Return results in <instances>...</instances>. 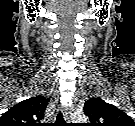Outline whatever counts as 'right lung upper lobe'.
<instances>
[{
  "instance_id": "obj_1",
  "label": "right lung upper lobe",
  "mask_w": 135,
  "mask_h": 126,
  "mask_svg": "<svg viewBox=\"0 0 135 126\" xmlns=\"http://www.w3.org/2000/svg\"><path fill=\"white\" fill-rule=\"evenodd\" d=\"M48 102L41 95L21 101L0 117V126H39Z\"/></svg>"
}]
</instances>
